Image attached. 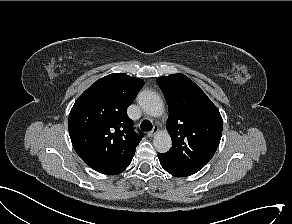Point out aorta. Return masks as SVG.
Instances as JSON below:
<instances>
[{
	"label": "aorta",
	"instance_id": "obj_1",
	"mask_svg": "<svg viewBox=\"0 0 292 224\" xmlns=\"http://www.w3.org/2000/svg\"><path fill=\"white\" fill-rule=\"evenodd\" d=\"M138 104L146 114L153 117L162 115L164 110V104L161 97L150 90L142 91L138 95ZM153 145L159 153L168 152L172 145L169 133L167 131L156 133L153 139Z\"/></svg>",
	"mask_w": 292,
	"mask_h": 224
}]
</instances>
